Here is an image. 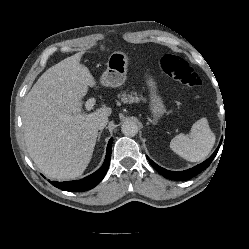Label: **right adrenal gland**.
Segmentation results:
<instances>
[{"label":"right adrenal gland","mask_w":249,"mask_h":249,"mask_svg":"<svg viewBox=\"0 0 249 249\" xmlns=\"http://www.w3.org/2000/svg\"><path fill=\"white\" fill-rule=\"evenodd\" d=\"M101 134H102V131H100L98 134V141H100Z\"/></svg>","instance_id":"obj_1"}]
</instances>
